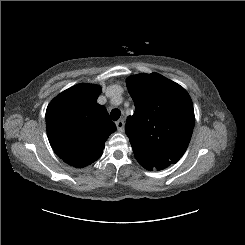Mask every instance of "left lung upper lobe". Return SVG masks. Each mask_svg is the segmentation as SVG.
<instances>
[{
    "instance_id": "1",
    "label": "left lung upper lobe",
    "mask_w": 245,
    "mask_h": 245,
    "mask_svg": "<svg viewBox=\"0 0 245 245\" xmlns=\"http://www.w3.org/2000/svg\"><path fill=\"white\" fill-rule=\"evenodd\" d=\"M127 88L135 113L125 132L137 161L147 170H162L185 153L194 128V109L187 91L158 73L131 76Z\"/></svg>"
}]
</instances>
